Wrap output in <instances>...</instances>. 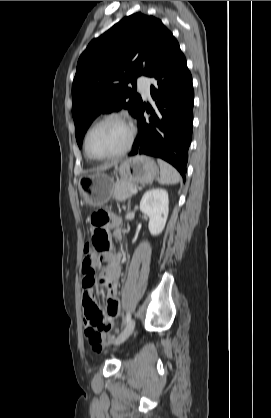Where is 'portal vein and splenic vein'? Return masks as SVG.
Listing matches in <instances>:
<instances>
[{"label":"portal vein and splenic vein","mask_w":271,"mask_h":418,"mask_svg":"<svg viewBox=\"0 0 271 418\" xmlns=\"http://www.w3.org/2000/svg\"><path fill=\"white\" fill-rule=\"evenodd\" d=\"M131 192L135 194V193H137V192H138V190H137V188H135V189H133Z\"/></svg>","instance_id":"obj_1"}]
</instances>
